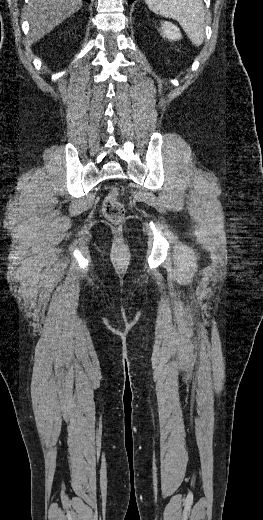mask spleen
Returning a JSON list of instances; mask_svg holds the SVG:
<instances>
[{"mask_svg":"<svg viewBox=\"0 0 263 520\" xmlns=\"http://www.w3.org/2000/svg\"><path fill=\"white\" fill-rule=\"evenodd\" d=\"M151 11L172 18L181 25L193 45L205 37V9L202 0H145Z\"/></svg>","mask_w":263,"mask_h":520,"instance_id":"1","label":"spleen"}]
</instances>
